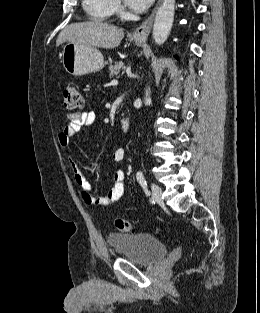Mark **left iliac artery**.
Here are the masks:
<instances>
[{
  "instance_id": "1",
  "label": "left iliac artery",
  "mask_w": 260,
  "mask_h": 313,
  "mask_svg": "<svg viewBox=\"0 0 260 313\" xmlns=\"http://www.w3.org/2000/svg\"><path fill=\"white\" fill-rule=\"evenodd\" d=\"M136 177H137V180L138 182L140 183L141 187L143 188L144 192L146 195H150V191L148 189V186H147V181L144 177V174L142 171H138L137 174H136Z\"/></svg>"
}]
</instances>
